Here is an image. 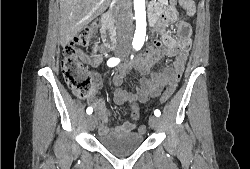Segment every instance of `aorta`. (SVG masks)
Wrapping results in <instances>:
<instances>
[{
	"label": "aorta",
	"mask_w": 250,
	"mask_h": 169,
	"mask_svg": "<svg viewBox=\"0 0 250 169\" xmlns=\"http://www.w3.org/2000/svg\"><path fill=\"white\" fill-rule=\"evenodd\" d=\"M136 30L134 38L144 42L146 36V10L145 0H134Z\"/></svg>",
	"instance_id": "1"
}]
</instances>
